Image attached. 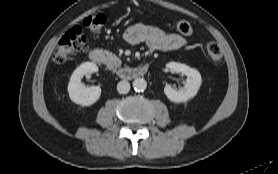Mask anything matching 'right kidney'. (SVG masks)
I'll return each instance as SVG.
<instances>
[{
  "label": "right kidney",
  "instance_id": "right-kidney-1",
  "mask_svg": "<svg viewBox=\"0 0 278 174\" xmlns=\"http://www.w3.org/2000/svg\"><path fill=\"white\" fill-rule=\"evenodd\" d=\"M97 71L98 67L93 62L82 63L74 70L68 84L69 97L74 103L82 106H90L100 98L101 88L99 86L85 87L81 83L84 75Z\"/></svg>",
  "mask_w": 278,
  "mask_h": 174
}]
</instances>
